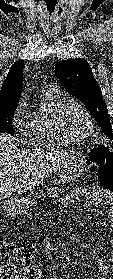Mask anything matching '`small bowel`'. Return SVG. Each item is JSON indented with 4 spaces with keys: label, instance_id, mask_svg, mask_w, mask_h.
I'll return each mask as SVG.
<instances>
[{
    "label": "small bowel",
    "instance_id": "c3829d8e",
    "mask_svg": "<svg viewBox=\"0 0 113 279\" xmlns=\"http://www.w3.org/2000/svg\"><path fill=\"white\" fill-rule=\"evenodd\" d=\"M78 197V196H85L86 197V203L85 207L89 208L91 206H98L101 204L103 197L107 199V203L110 205L109 212H108V218L110 221V230H113V194L112 193H105L103 194L101 191L96 189L95 187H91L90 189L86 188H76L73 191V194L71 196H68L66 199L69 200L70 197ZM113 262V259H112ZM29 269V268H28ZM28 269H24L21 273V276H18L17 274H10L9 276L0 274V279H42L41 270L37 268V276L33 275L32 277H29L30 271ZM113 269V265H112ZM98 270L100 274L101 279H107L109 271H110V265L100 261L98 262ZM46 279H52V278H46ZM69 279V278H68ZM111 279V278H110Z\"/></svg>",
    "mask_w": 113,
    "mask_h": 279
}]
</instances>
